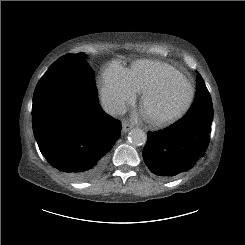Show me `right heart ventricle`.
I'll list each match as a JSON object with an SVG mask.
<instances>
[{
	"mask_svg": "<svg viewBox=\"0 0 245 245\" xmlns=\"http://www.w3.org/2000/svg\"><path fill=\"white\" fill-rule=\"evenodd\" d=\"M174 71H179L169 64L139 60L127 70L130 83L136 92H144L146 89L158 84Z\"/></svg>",
	"mask_w": 245,
	"mask_h": 245,
	"instance_id": "e07e8e85",
	"label": "right heart ventricle"
}]
</instances>
